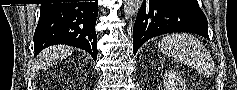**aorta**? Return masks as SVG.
<instances>
[{
  "label": "aorta",
  "mask_w": 237,
  "mask_h": 90,
  "mask_svg": "<svg viewBox=\"0 0 237 90\" xmlns=\"http://www.w3.org/2000/svg\"><path fill=\"white\" fill-rule=\"evenodd\" d=\"M143 0H124L123 12L125 18H130V16H135L139 12Z\"/></svg>",
  "instance_id": "1"
}]
</instances>
